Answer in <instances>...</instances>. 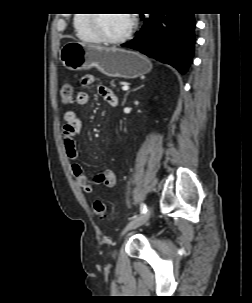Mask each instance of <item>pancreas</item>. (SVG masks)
I'll return each mask as SVG.
<instances>
[{"label":"pancreas","instance_id":"pancreas-1","mask_svg":"<svg viewBox=\"0 0 252 303\" xmlns=\"http://www.w3.org/2000/svg\"><path fill=\"white\" fill-rule=\"evenodd\" d=\"M110 84H111L112 87H115V82H114V80H112V81L110 82Z\"/></svg>","mask_w":252,"mask_h":303}]
</instances>
